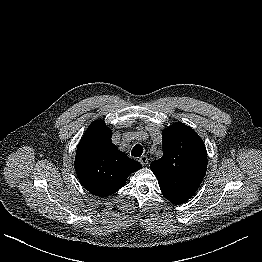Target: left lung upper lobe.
I'll list each match as a JSON object with an SVG mask.
<instances>
[{"instance_id": "5c2ea615", "label": "left lung upper lobe", "mask_w": 262, "mask_h": 262, "mask_svg": "<svg viewBox=\"0 0 262 262\" xmlns=\"http://www.w3.org/2000/svg\"><path fill=\"white\" fill-rule=\"evenodd\" d=\"M162 158L150 168L161 192L173 204L189 200L199 188L207 169V152L200 136L189 126L177 122L162 133Z\"/></svg>"}]
</instances>
